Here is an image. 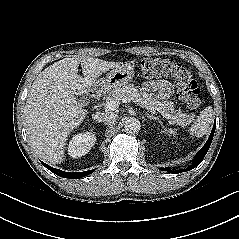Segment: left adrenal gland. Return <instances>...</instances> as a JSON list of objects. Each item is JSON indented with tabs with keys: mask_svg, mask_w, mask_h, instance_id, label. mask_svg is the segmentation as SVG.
<instances>
[{
	"mask_svg": "<svg viewBox=\"0 0 239 239\" xmlns=\"http://www.w3.org/2000/svg\"><path fill=\"white\" fill-rule=\"evenodd\" d=\"M145 115H146V117H147L148 119H150V120H156L157 122H159V123H160V120H159V118H158V117H155V116H153V114L146 113Z\"/></svg>",
	"mask_w": 239,
	"mask_h": 239,
	"instance_id": "a2214340",
	"label": "left adrenal gland"
}]
</instances>
